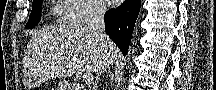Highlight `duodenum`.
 <instances>
[{"label":"duodenum","mask_w":216,"mask_h":90,"mask_svg":"<svg viewBox=\"0 0 216 90\" xmlns=\"http://www.w3.org/2000/svg\"><path fill=\"white\" fill-rule=\"evenodd\" d=\"M73 90H84V87H73Z\"/></svg>","instance_id":"duodenum-1"}]
</instances>
